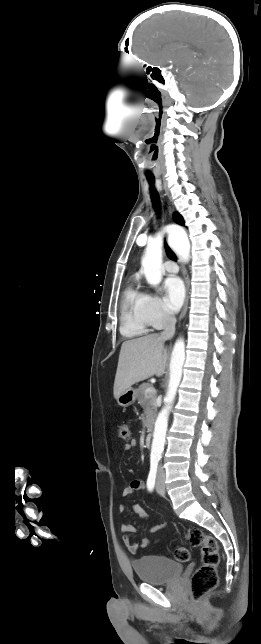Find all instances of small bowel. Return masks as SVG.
<instances>
[{
  "label": "small bowel",
  "mask_w": 261,
  "mask_h": 644,
  "mask_svg": "<svg viewBox=\"0 0 261 644\" xmlns=\"http://www.w3.org/2000/svg\"><path fill=\"white\" fill-rule=\"evenodd\" d=\"M136 446V441L132 440L130 443H127L124 446L125 451H130L132 448ZM145 488V482L143 480H132L128 486H126L123 491H122V496L123 497H129L136 491L142 490ZM119 510L121 512L125 511V506L120 505ZM133 512L141 519H145L147 517V512L146 510L139 504H135L133 506ZM165 527L164 523L161 524H154L149 527V532L155 533L160 530H162ZM121 531L123 532V541L125 545L127 546L128 550L131 553H137L140 548H146L151 544V540L148 538H142L140 542H136L133 540L131 534L135 532V527L132 524L129 523H124L121 525Z\"/></svg>",
  "instance_id": "obj_1"
}]
</instances>
